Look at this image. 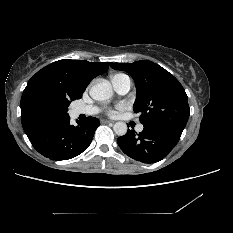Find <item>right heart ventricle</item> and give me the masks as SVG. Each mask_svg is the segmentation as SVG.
I'll use <instances>...</instances> for the list:
<instances>
[{
	"label": "right heart ventricle",
	"mask_w": 233,
	"mask_h": 233,
	"mask_svg": "<svg viewBox=\"0 0 233 233\" xmlns=\"http://www.w3.org/2000/svg\"><path fill=\"white\" fill-rule=\"evenodd\" d=\"M118 76H121V74L114 75V76L112 77V80H113L114 78L118 77Z\"/></svg>",
	"instance_id": "e07e8e85"
}]
</instances>
